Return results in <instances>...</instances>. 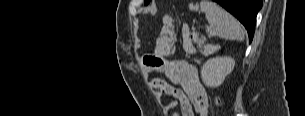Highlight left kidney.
<instances>
[{
  "mask_svg": "<svg viewBox=\"0 0 305 116\" xmlns=\"http://www.w3.org/2000/svg\"><path fill=\"white\" fill-rule=\"evenodd\" d=\"M235 65L231 57H215L208 59L201 68V78L207 87L220 86Z\"/></svg>",
  "mask_w": 305,
  "mask_h": 116,
  "instance_id": "1",
  "label": "left kidney"
}]
</instances>
